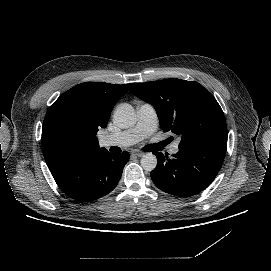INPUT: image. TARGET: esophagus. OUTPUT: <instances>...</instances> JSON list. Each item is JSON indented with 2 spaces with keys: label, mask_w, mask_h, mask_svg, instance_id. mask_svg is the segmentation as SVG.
<instances>
[{
  "label": "esophagus",
  "mask_w": 271,
  "mask_h": 271,
  "mask_svg": "<svg viewBox=\"0 0 271 271\" xmlns=\"http://www.w3.org/2000/svg\"><path fill=\"white\" fill-rule=\"evenodd\" d=\"M132 154H134V155H136V156H138V157H142L143 155H145L144 152H141V151H138V150H134V151L132 152Z\"/></svg>",
  "instance_id": "obj_1"
}]
</instances>
